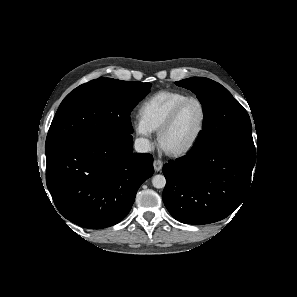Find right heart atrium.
I'll return each mask as SVG.
<instances>
[{"mask_svg": "<svg viewBox=\"0 0 297 297\" xmlns=\"http://www.w3.org/2000/svg\"><path fill=\"white\" fill-rule=\"evenodd\" d=\"M134 128L136 133L141 137L147 138L151 134V131L146 127L141 119H137L134 121Z\"/></svg>", "mask_w": 297, "mask_h": 297, "instance_id": "right-heart-atrium-1", "label": "right heart atrium"}]
</instances>
